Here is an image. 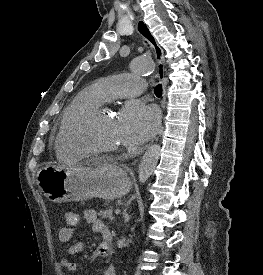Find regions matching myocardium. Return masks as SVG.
Listing matches in <instances>:
<instances>
[{
  "label": "myocardium",
  "mask_w": 263,
  "mask_h": 275,
  "mask_svg": "<svg viewBox=\"0 0 263 275\" xmlns=\"http://www.w3.org/2000/svg\"><path fill=\"white\" fill-rule=\"evenodd\" d=\"M112 110L101 104L83 114L68 131L67 137L72 145L83 155H102L112 154L121 149V146H98L85 141L81 134L84 130L93 125L103 115L110 113Z\"/></svg>",
  "instance_id": "myocardium-1"
}]
</instances>
